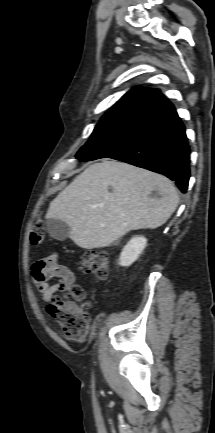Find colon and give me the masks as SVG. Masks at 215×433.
<instances>
[{
	"mask_svg": "<svg viewBox=\"0 0 215 433\" xmlns=\"http://www.w3.org/2000/svg\"><path fill=\"white\" fill-rule=\"evenodd\" d=\"M45 237V223L38 216L32 226L30 240L35 246L41 245ZM80 270L84 274H91L98 280L106 279L110 274L108 251H88L81 257ZM74 300H66L60 296L52 298L47 307L50 316L57 322L66 338L83 342L89 330V309L91 303L85 299V293L79 286L70 290ZM76 302H81L82 307Z\"/></svg>",
	"mask_w": 215,
	"mask_h": 433,
	"instance_id": "1",
	"label": "colon"
}]
</instances>
